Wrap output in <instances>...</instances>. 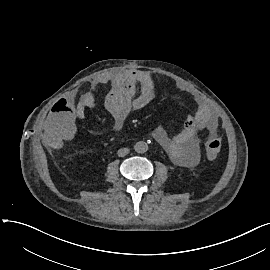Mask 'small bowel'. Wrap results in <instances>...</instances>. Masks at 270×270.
Masks as SVG:
<instances>
[{"mask_svg": "<svg viewBox=\"0 0 270 270\" xmlns=\"http://www.w3.org/2000/svg\"><path fill=\"white\" fill-rule=\"evenodd\" d=\"M104 85L110 86L106 96V109L111 114L112 131L119 133L128 115L146 107L158 89V77L138 69L119 70L95 78L89 89L80 98L74 93H65L54 104L50 120L46 125V141L51 146L74 144L79 139L76 119H84L86 112L94 109L97 91ZM137 88L139 94L136 95ZM198 102V109L189 116L182 128L170 137L162 126L153 131V137L177 165L196 166L200 160L198 144L199 131L217 134L218 121L206 102L192 93Z\"/></svg>", "mask_w": 270, "mask_h": 270, "instance_id": "small-bowel-1", "label": "small bowel"}]
</instances>
